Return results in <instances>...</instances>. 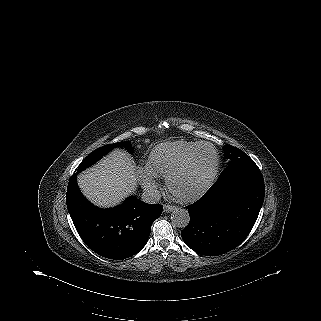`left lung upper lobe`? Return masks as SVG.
Listing matches in <instances>:
<instances>
[{"label": "left lung upper lobe", "instance_id": "1", "mask_svg": "<svg viewBox=\"0 0 321 321\" xmlns=\"http://www.w3.org/2000/svg\"><path fill=\"white\" fill-rule=\"evenodd\" d=\"M223 149L225 158L229 160L228 165L239 160L251 159L242 150L237 149L233 146L225 145Z\"/></svg>", "mask_w": 321, "mask_h": 321}]
</instances>
